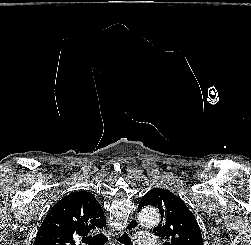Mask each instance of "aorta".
<instances>
[{"label": "aorta", "instance_id": "762f6f07", "mask_svg": "<svg viewBox=\"0 0 251 245\" xmlns=\"http://www.w3.org/2000/svg\"><path fill=\"white\" fill-rule=\"evenodd\" d=\"M141 223L147 227H154L160 221V216L156 208L146 207L143 208L139 214Z\"/></svg>", "mask_w": 251, "mask_h": 245}]
</instances>
